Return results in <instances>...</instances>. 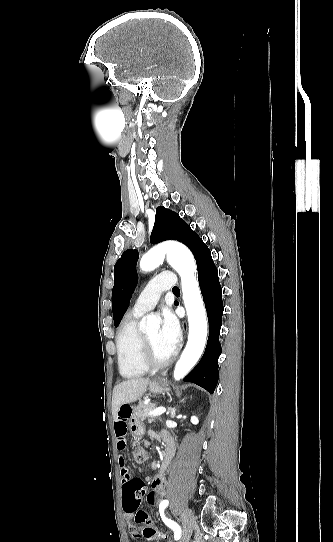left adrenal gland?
I'll list each match as a JSON object with an SVG mask.
<instances>
[{"instance_id": "left-adrenal-gland-1", "label": "left adrenal gland", "mask_w": 333, "mask_h": 542, "mask_svg": "<svg viewBox=\"0 0 333 542\" xmlns=\"http://www.w3.org/2000/svg\"><path fill=\"white\" fill-rule=\"evenodd\" d=\"M184 400H185V398H183V400H180V402H184ZM168 412H170L171 418H175V416H176L175 408H168Z\"/></svg>"}]
</instances>
